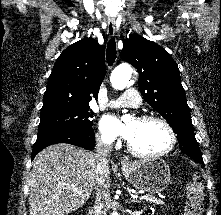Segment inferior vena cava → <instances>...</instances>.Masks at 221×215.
<instances>
[{"label": "inferior vena cava", "instance_id": "obj_1", "mask_svg": "<svg viewBox=\"0 0 221 215\" xmlns=\"http://www.w3.org/2000/svg\"><path fill=\"white\" fill-rule=\"evenodd\" d=\"M112 145L104 143L101 140H97L96 144V177L94 181L96 198L95 208L99 211L103 208L104 203L109 198L110 179L108 177V160L107 157L112 152Z\"/></svg>", "mask_w": 221, "mask_h": 215}]
</instances>
